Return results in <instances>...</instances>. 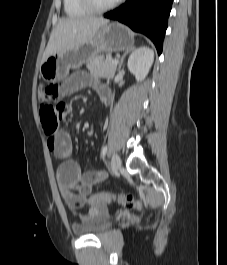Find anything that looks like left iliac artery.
<instances>
[{
    "mask_svg": "<svg viewBox=\"0 0 227 265\" xmlns=\"http://www.w3.org/2000/svg\"><path fill=\"white\" fill-rule=\"evenodd\" d=\"M107 152V146H104L101 152V156L104 158Z\"/></svg>",
    "mask_w": 227,
    "mask_h": 265,
    "instance_id": "44dca946",
    "label": "left iliac artery"
}]
</instances>
